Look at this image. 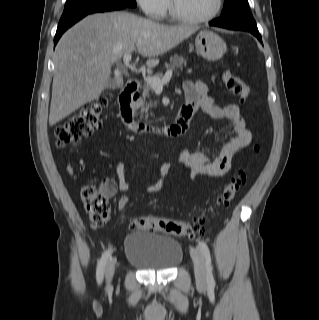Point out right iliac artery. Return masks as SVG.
Instances as JSON below:
<instances>
[{
    "label": "right iliac artery",
    "mask_w": 319,
    "mask_h": 320,
    "mask_svg": "<svg viewBox=\"0 0 319 320\" xmlns=\"http://www.w3.org/2000/svg\"><path fill=\"white\" fill-rule=\"evenodd\" d=\"M110 256H111V251L107 250L103 253L101 259L99 260V263L97 266V273H96L98 283H101L103 280L105 265Z\"/></svg>",
    "instance_id": "right-iliac-artery-1"
}]
</instances>
